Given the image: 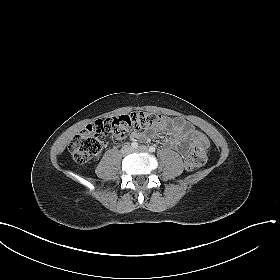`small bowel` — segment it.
Returning a JSON list of instances; mask_svg holds the SVG:
<instances>
[{
  "mask_svg": "<svg viewBox=\"0 0 280 280\" xmlns=\"http://www.w3.org/2000/svg\"><path fill=\"white\" fill-rule=\"evenodd\" d=\"M169 125L164 121L161 127L166 128ZM172 131L175 137L174 145L182 152H186L190 144L197 142L207 144L206 137L196 129H194L188 122L176 118L171 122ZM132 139H144L145 135L139 131H135L131 135Z\"/></svg>",
  "mask_w": 280,
  "mask_h": 280,
  "instance_id": "1",
  "label": "small bowel"
}]
</instances>
